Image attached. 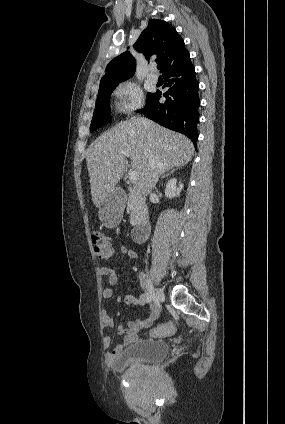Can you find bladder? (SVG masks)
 <instances>
[{
  "label": "bladder",
  "mask_w": 285,
  "mask_h": 424,
  "mask_svg": "<svg viewBox=\"0 0 285 424\" xmlns=\"http://www.w3.org/2000/svg\"><path fill=\"white\" fill-rule=\"evenodd\" d=\"M169 352L166 342L161 340H141L124 348L117 356L114 366L125 369L135 363H157Z\"/></svg>",
  "instance_id": "31cf9c89"
}]
</instances>
